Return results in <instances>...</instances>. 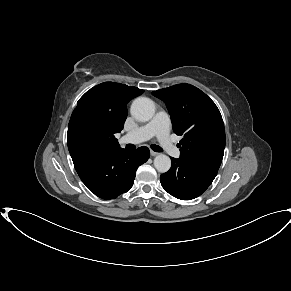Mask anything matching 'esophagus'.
Returning a JSON list of instances; mask_svg holds the SVG:
<instances>
[{"mask_svg":"<svg viewBox=\"0 0 291 291\" xmlns=\"http://www.w3.org/2000/svg\"><path fill=\"white\" fill-rule=\"evenodd\" d=\"M151 156H157L159 153L155 152V151H150Z\"/></svg>","mask_w":291,"mask_h":291,"instance_id":"34e87169","label":"esophagus"}]
</instances>
